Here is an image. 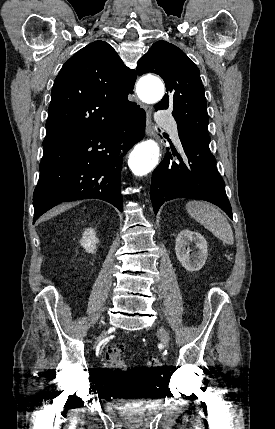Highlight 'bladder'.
Masks as SVG:
<instances>
[{
    "instance_id": "bladder-1",
    "label": "bladder",
    "mask_w": 275,
    "mask_h": 429,
    "mask_svg": "<svg viewBox=\"0 0 275 429\" xmlns=\"http://www.w3.org/2000/svg\"><path fill=\"white\" fill-rule=\"evenodd\" d=\"M109 383L107 398H117L118 403H145L153 396L151 377H110Z\"/></svg>"
}]
</instances>
